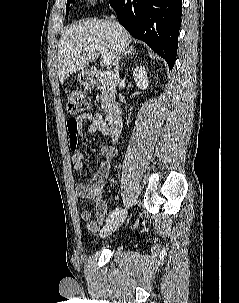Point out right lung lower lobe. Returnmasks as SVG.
Here are the masks:
<instances>
[{"label": "right lung lower lobe", "instance_id": "obj_1", "mask_svg": "<svg viewBox=\"0 0 239 303\" xmlns=\"http://www.w3.org/2000/svg\"><path fill=\"white\" fill-rule=\"evenodd\" d=\"M129 33L163 57L171 70L178 48L182 0H110Z\"/></svg>", "mask_w": 239, "mask_h": 303}]
</instances>
